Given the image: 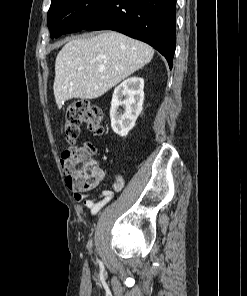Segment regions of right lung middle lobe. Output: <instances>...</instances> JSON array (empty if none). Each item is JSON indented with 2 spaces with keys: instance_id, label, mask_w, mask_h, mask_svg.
Listing matches in <instances>:
<instances>
[{
  "instance_id": "dd1d6c3e",
  "label": "right lung middle lobe",
  "mask_w": 247,
  "mask_h": 296,
  "mask_svg": "<svg viewBox=\"0 0 247 296\" xmlns=\"http://www.w3.org/2000/svg\"><path fill=\"white\" fill-rule=\"evenodd\" d=\"M101 1L52 0L47 15L51 37L85 29Z\"/></svg>"
}]
</instances>
